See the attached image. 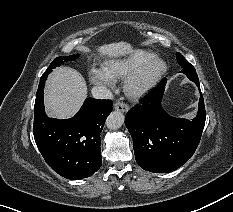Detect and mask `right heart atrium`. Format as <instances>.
I'll return each mask as SVG.
<instances>
[{"mask_svg": "<svg viewBox=\"0 0 233 212\" xmlns=\"http://www.w3.org/2000/svg\"><path fill=\"white\" fill-rule=\"evenodd\" d=\"M90 81L96 85L111 86L113 78L101 68H92L89 72Z\"/></svg>", "mask_w": 233, "mask_h": 212, "instance_id": "1", "label": "right heart atrium"}]
</instances>
